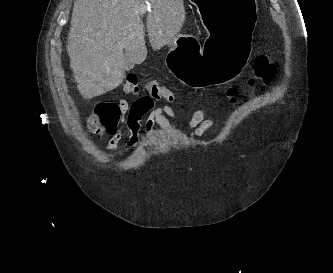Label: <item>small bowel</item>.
Segmentation results:
<instances>
[{"mask_svg":"<svg viewBox=\"0 0 333 273\" xmlns=\"http://www.w3.org/2000/svg\"><path fill=\"white\" fill-rule=\"evenodd\" d=\"M119 112L123 114V122L130 132V137L126 148H132L139 140L141 130H144L148 138L153 133L154 127L159 125L162 128L168 127L167 118H177L178 111L171 106H154V96H138V100L128 104L125 100L119 101ZM213 120L206 118L204 110L194 111L187 121L186 128L193 131L196 138H201L204 133L215 127ZM122 138V131L116 129L110 132V140L106 148L107 152H113L117 149Z\"/></svg>","mask_w":333,"mask_h":273,"instance_id":"c3829d8e","label":"small bowel"}]
</instances>
